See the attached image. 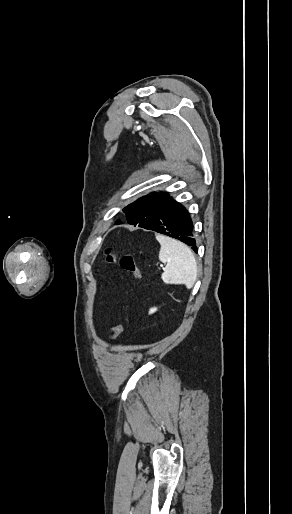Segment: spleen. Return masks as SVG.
Segmentation results:
<instances>
[{"label": "spleen", "instance_id": "obj_1", "mask_svg": "<svg viewBox=\"0 0 292 514\" xmlns=\"http://www.w3.org/2000/svg\"><path fill=\"white\" fill-rule=\"evenodd\" d=\"M156 240L161 246L159 260L166 264L162 274L164 284H185L186 288H192L197 280V262L190 248L159 234Z\"/></svg>", "mask_w": 292, "mask_h": 514}]
</instances>
